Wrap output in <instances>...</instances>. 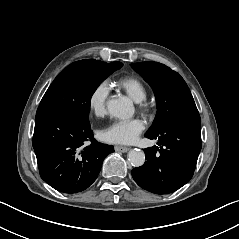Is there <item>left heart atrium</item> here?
<instances>
[{
	"label": "left heart atrium",
	"mask_w": 239,
	"mask_h": 239,
	"mask_svg": "<svg viewBox=\"0 0 239 239\" xmlns=\"http://www.w3.org/2000/svg\"><path fill=\"white\" fill-rule=\"evenodd\" d=\"M145 129V121L140 117L121 120L114 119L100 133L103 141L116 144H132Z\"/></svg>",
	"instance_id": "1"
}]
</instances>
